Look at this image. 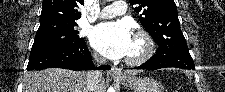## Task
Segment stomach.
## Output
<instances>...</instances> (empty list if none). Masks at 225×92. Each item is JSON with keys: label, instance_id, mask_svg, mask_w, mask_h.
Returning <instances> with one entry per match:
<instances>
[{"label": "stomach", "instance_id": "obj_1", "mask_svg": "<svg viewBox=\"0 0 225 92\" xmlns=\"http://www.w3.org/2000/svg\"><path fill=\"white\" fill-rule=\"evenodd\" d=\"M118 79L134 92H164L162 85L155 79L136 77L128 73H124Z\"/></svg>", "mask_w": 225, "mask_h": 92}]
</instances>
